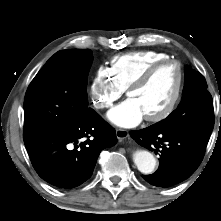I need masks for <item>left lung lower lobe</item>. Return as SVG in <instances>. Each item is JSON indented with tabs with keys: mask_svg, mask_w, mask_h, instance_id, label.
Instances as JSON below:
<instances>
[{
	"mask_svg": "<svg viewBox=\"0 0 221 221\" xmlns=\"http://www.w3.org/2000/svg\"><path fill=\"white\" fill-rule=\"evenodd\" d=\"M130 135L139 145L159 154V168L142 177L148 183L164 188L180 183L194 173L210 137V134L192 130L165 132L155 125L133 130Z\"/></svg>",
	"mask_w": 221,
	"mask_h": 221,
	"instance_id": "1",
	"label": "left lung lower lobe"
}]
</instances>
